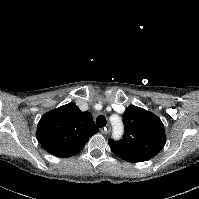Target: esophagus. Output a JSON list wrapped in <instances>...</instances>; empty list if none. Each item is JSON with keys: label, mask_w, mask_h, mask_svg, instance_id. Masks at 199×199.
I'll return each instance as SVG.
<instances>
[{"label": "esophagus", "mask_w": 199, "mask_h": 199, "mask_svg": "<svg viewBox=\"0 0 199 199\" xmlns=\"http://www.w3.org/2000/svg\"><path fill=\"white\" fill-rule=\"evenodd\" d=\"M110 130H111L110 126H105L100 129L101 133H103V134H108L110 132Z\"/></svg>", "instance_id": "1"}]
</instances>
